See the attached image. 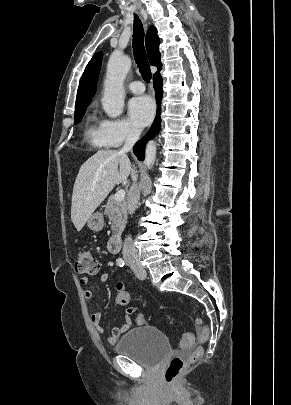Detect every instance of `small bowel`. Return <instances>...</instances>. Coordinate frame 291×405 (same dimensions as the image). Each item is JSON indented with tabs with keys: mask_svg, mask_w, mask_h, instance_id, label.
Here are the masks:
<instances>
[{
	"mask_svg": "<svg viewBox=\"0 0 291 405\" xmlns=\"http://www.w3.org/2000/svg\"><path fill=\"white\" fill-rule=\"evenodd\" d=\"M108 278H109V276L105 272H103L99 275V281L101 283L107 282ZM88 283H89L88 277L84 276V277L80 278L81 285H87ZM84 297H85L86 301L90 302V301H92L94 294L91 290H86L84 292ZM132 315H135L134 322L137 326L144 324L145 320H144V316L142 313H136V310L132 307L126 309L125 322L121 326L114 327L112 329L111 333L106 335L105 340L108 344H115L117 342V340L129 330L130 326L133 324V322L131 320ZM102 318H103V315L101 312H95L91 315V324H92L95 332L98 335L104 334V328L101 325Z\"/></svg>",
	"mask_w": 291,
	"mask_h": 405,
	"instance_id": "small-bowel-1",
	"label": "small bowel"
}]
</instances>
